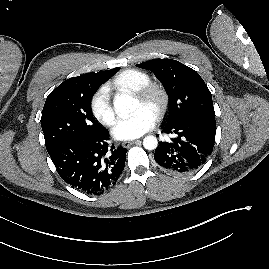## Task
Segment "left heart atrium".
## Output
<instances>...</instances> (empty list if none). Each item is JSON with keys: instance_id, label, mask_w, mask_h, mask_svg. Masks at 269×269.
Segmentation results:
<instances>
[{"instance_id": "obj_1", "label": "left heart atrium", "mask_w": 269, "mask_h": 269, "mask_svg": "<svg viewBox=\"0 0 269 269\" xmlns=\"http://www.w3.org/2000/svg\"><path fill=\"white\" fill-rule=\"evenodd\" d=\"M155 122V114L147 108H141L133 116L119 120L113 134L119 140H132L152 129Z\"/></svg>"}]
</instances>
